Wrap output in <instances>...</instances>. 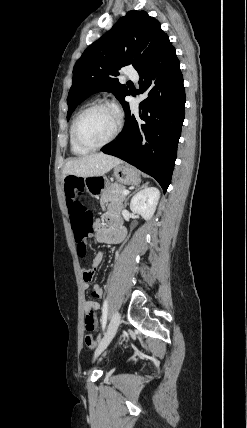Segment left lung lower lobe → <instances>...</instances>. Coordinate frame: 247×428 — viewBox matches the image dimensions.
I'll list each match as a JSON object with an SVG mask.
<instances>
[{
  "label": "left lung lower lobe",
  "instance_id": "1",
  "mask_svg": "<svg viewBox=\"0 0 247 428\" xmlns=\"http://www.w3.org/2000/svg\"><path fill=\"white\" fill-rule=\"evenodd\" d=\"M138 73V92L147 95L140 104L139 116L131 113L126 102L124 130L102 152L154 177L165 193L172 177L186 101L175 48L157 56Z\"/></svg>",
  "mask_w": 247,
  "mask_h": 428
}]
</instances>
